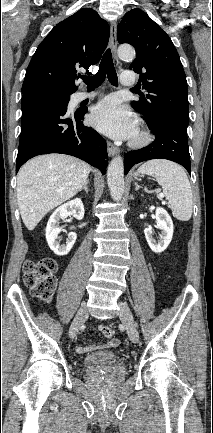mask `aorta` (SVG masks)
Listing matches in <instances>:
<instances>
[{
	"instance_id": "1",
	"label": "aorta",
	"mask_w": 213,
	"mask_h": 433,
	"mask_svg": "<svg viewBox=\"0 0 213 433\" xmlns=\"http://www.w3.org/2000/svg\"><path fill=\"white\" fill-rule=\"evenodd\" d=\"M118 56L122 60H132L135 57V50L128 45H122L118 48ZM107 184L111 197L114 201H120L124 194V162L122 157L118 156L112 159L107 171Z\"/></svg>"
}]
</instances>
